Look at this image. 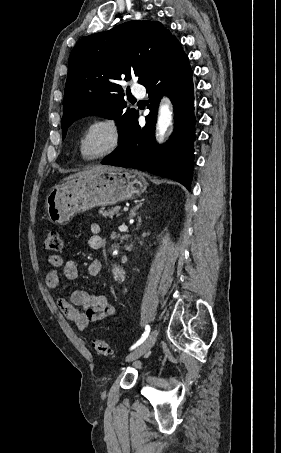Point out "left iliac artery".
<instances>
[{"label":"left iliac artery","instance_id":"44dca946","mask_svg":"<svg viewBox=\"0 0 281 453\" xmlns=\"http://www.w3.org/2000/svg\"><path fill=\"white\" fill-rule=\"evenodd\" d=\"M149 332H150V326H149V325H146V327H145V332H144V334H142L141 339H140L139 341H137V343L134 344V345L131 347V349H134V348H136L137 346H139L141 343H143L144 340L148 337Z\"/></svg>","mask_w":281,"mask_h":453}]
</instances>
